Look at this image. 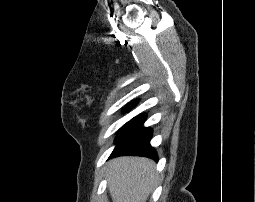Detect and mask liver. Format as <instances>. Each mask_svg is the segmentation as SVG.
I'll use <instances>...</instances> for the list:
<instances>
[{"instance_id":"6515ba94","label":"liver","mask_w":255,"mask_h":202,"mask_svg":"<svg viewBox=\"0 0 255 202\" xmlns=\"http://www.w3.org/2000/svg\"><path fill=\"white\" fill-rule=\"evenodd\" d=\"M108 179L113 202H146L156 180L155 163L144 157L113 159Z\"/></svg>"}]
</instances>
